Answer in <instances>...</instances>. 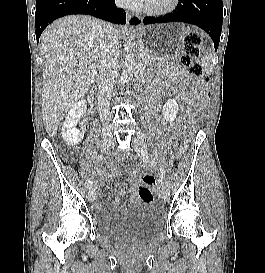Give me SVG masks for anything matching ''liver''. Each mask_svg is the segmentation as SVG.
Returning a JSON list of instances; mask_svg holds the SVG:
<instances>
[{
	"mask_svg": "<svg viewBox=\"0 0 265 273\" xmlns=\"http://www.w3.org/2000/svg\"><path fill=\"white\" fill-rule=\"evenodd\" d=\"M104 25L90 16L70 15L54 21L41 35L42 117L51 138L98 78ZM114 30L119 42L121 34Z\"/></svg>",
	"mask_w": 265,
	"mask_h": 273,
	"instance_id": "6515ba94",
	"label": "liver"
}]
</instances>
